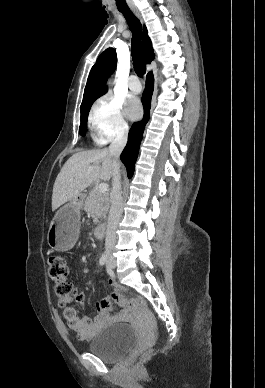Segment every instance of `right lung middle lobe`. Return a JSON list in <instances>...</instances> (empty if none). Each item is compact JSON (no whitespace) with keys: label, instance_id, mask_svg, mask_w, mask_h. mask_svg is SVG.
<instances>
[{"label":"right lung middle lobe","instance_id":"right-lung-middle-lobe-1","mask_svg":"<svg viewBox=\"0 0 265 388\" xmlns=\"http://www.w3.org/2000/svg\"><path fill=\"white\" fill-rule=\"evenodd\" d=\"M100 96L102 95H99L97 97H94L90 100H88L87 102H85L84 104L81 105V124H80V128H79V133L81 136H84L85 135V131H86V128H87V118H88V113H89V110L93 104V102L99 98Z\"/></svg>","mask_w":265,"mask_h":388}]
</instances>
